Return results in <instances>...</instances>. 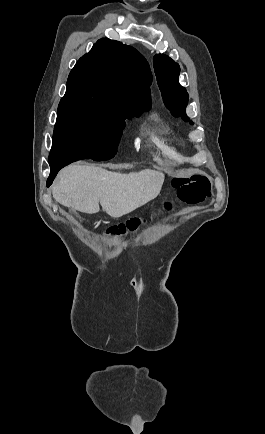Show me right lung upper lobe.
<instances>
[{
  "label": "right lung upper lobe",
  "mask_w": 265,
  "mask_h": 434,
  "mask_svg": "<svg viewBox=\"0 0 265 434\" xmlns=\"http://www.w3.org/2000/svg\"><path fill=\"white\" fill-rule=\"evenodd\" d=\"M151 80L149 64L135 48L102 38L77 61L67 87H94L114 99L150 108Z\"/></svg>",
  "instance_id": "right-lung-upper-lobe-1"
}]
</instances>
